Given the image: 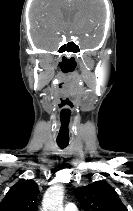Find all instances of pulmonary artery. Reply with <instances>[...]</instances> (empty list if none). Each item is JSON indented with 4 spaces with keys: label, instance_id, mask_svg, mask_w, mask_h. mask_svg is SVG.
I'll return each mask as SVG.
<instances>
[{
    "label": "pulmonary artery",
    "instance_id": "1",
    "mask_svg": "<svg viewBox=\"0 0 133 211\" xmlns=\"http://www.w3.org/2000/svg\"><path fill=\"white\" fill-rule=\"evenodd\" d=\"M64 211H78V210L73 203H67L64 207Z\"/></svg>",
    "mask_w": 133,
    "mask_h": 211
}]
</instances>
